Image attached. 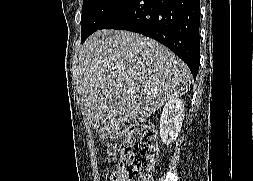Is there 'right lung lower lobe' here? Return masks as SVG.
I'll return each mask as SVG.
<instances>
[{"mask_svg":"<svg viewBox=\"0 0 253 181\" xmlns=\"http://www.w3.org/2000/svg\"><path fill=\"white\" fill-rule=\"evenodd\" d=\"M199 23L200 0H128L99 29L128 30L157 40L188 65L195 79L200 63ZM92 33L81 36V41Z\"/></svg>","mask_w":253,"mask_h":181,"instance_id":"right-lung-lower-lobe-1","label":"right lung lower lobe"}]
</instances>
